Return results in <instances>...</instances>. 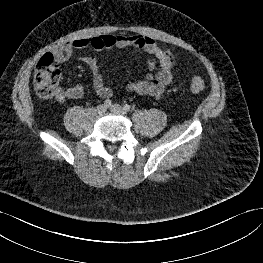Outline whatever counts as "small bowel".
<instances>
[{
	"label": "small bowel",
	"mask_w": 263,
	"mask_h": 263,
	"mask_svg": "<svg viewBox=\"0 0 263 263\" xmlns=\"http://www.w3.org/2000/svg\"><path fill=\"white\" fill-rule=\"evenodd\" d=\"M138 48L150 56L148 61V74L140 81H127L123 89L140 95L160 96L173 79V70L176 58L173 53L161 47L153 38L144 35H100L89 38H79L56 45L51 55L57 63H64L77 49L92 48L102 50L109 48L124 49ZM83 62L92 73V82L95 92L103 98L113 95V89L105 84L100 72L99 62L94 56L82 57ZM84 94V87L80 84L67 88L59 87L54 95L55 101L62 103L67 99H78Z\"/></svg>",
	"instance_id": "obj_1"
}]
</instances>
